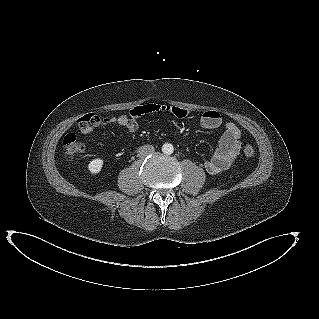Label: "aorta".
<instances>
[{
  "label": "aorta",
  "instance_id": "aorta-1",
  "mask_svg": "<svg viewBox=\"0 0 319 319\" xmlns=\"http://www.w3.org/2000/svg\"><path fill=\"white\" fill-rule=\"evenodd\" d=\"M162 152L164 154H167V155H170L174 152V147L172 144L170 143H165L163 146H162Z\"/></svg>",
  "mask_w": 319,
  "mask_h": 319
}]
</instances>
